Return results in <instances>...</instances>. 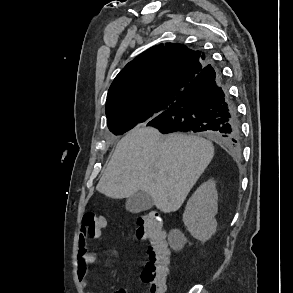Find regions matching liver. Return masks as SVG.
<instances>
[{"label":"liver","mask_w":293,"mask_h":293,"mask_svg":"<svg viewBox=\"0 0 293 293\" xmlns=\"http://www.w3.org/2000/svg\"><path fill=\"white\" fill-rule=\"evenodd\" d=\"M214 156L213 144L201 137L173 133L162 136L137 126L117 144L97 190L113 199L148 193L157 209L177 211Z\"/></svg>","instance_id":"obj_1"}]
</instances>
